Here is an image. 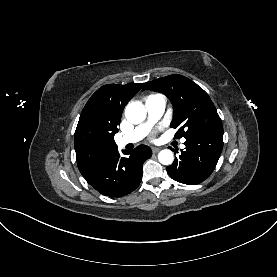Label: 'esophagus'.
Segmentation results:
<instances>
[{"label":"esophagus","instance_id":"esophagus-1","mask_svg":"<svg viewBox=\"0 0 277 277\" xmlns=\"http://www.w3.org/2000/svg\"><path fill=\"white\" fill-rule=\"evenodd\" d=\"M160 151V148L158 147H152V152L153 153H158Z\"/></svg>","mask_w":277,"mask_h":277}]
</instances>
